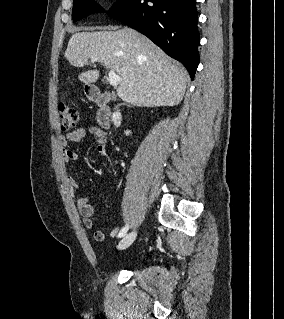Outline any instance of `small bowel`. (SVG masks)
Segmentation results:
<instances>
[{
  "mask_svg": "<svg viewBox=\"0 0 284 319\" xmlns=\"http://www.w3.org/2000/svg\"><path fill=\"white\" fill-rule=\"evenodd\" d=\"M90 135L92 139L96 143V150L98 154L101 156L107 155V149H106V141H107V135L104 131L99 129L98 127H90L88 130L84 128H77L69 133H67L65 136L61 137L60 144L64 147L67 146L69 142H80L86 135ZM63 159L66 163L76 161L78 159V154L71 150V149H64L63 150ZM68 184L73 190L79 189V184L75 180L74 177L69 176L68 177ZM77 208L79 210L80 215L83 219V224L87 229H91L94 226L93 222V215L95 213V206L89 201V198L87 196H80L77 199ZM120 228L114 227L110 230V236L114 237L117 235ZM106 235L105 232L102 230H97L94 232V239L96 241H103L105 239Z\"/></svg>",
  "mask_w": 284,
  "mask_h": 319,
  "instance_id": "small-bowel-1",
  "label": "small bowel"
}]
</instances>
